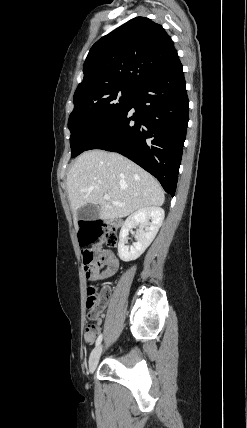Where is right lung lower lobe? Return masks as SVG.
I'll use <instances>...</instances> for the list:
<instances>
[{"label": "right lung lower lobe", "instance_id": "98d812e1", "mask_svg": "<svg viewBox=\"0 0 247 428\" xmlns=\"http://www.w3.org/2000/svg\"><path fill=\"white\" fill-rule=\"evenodd\" d=\"M182 64L175 60L136 89L123 113L87 148L117 152L175 195L188 124Z\"/></svg>", "mask_w": 247, "mask_h": 428}]
</instances>
